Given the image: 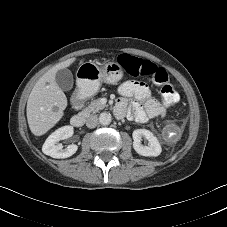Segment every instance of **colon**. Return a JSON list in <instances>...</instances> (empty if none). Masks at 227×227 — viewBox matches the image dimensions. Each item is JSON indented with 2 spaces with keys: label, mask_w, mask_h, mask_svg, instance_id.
<instances>
[{
  "label": "colon",
  "mask_w": 227,
  "mask_h": 227,
  "mask_svg": "<svg viewBox=\"0 0 227 227\" xmlns=\"http://www.w3.org/2000/svg\"><path fill=\"white\" fill-rule=\"evenodd\" d=\"M120 64L128 75L150 77L158 83L161 86V98L166 104L174 105L178 102L177 91L163 68L150 61H139L132 57H122Z\"/></svg>",
  "instance_id": "obj_1"
}]
</instances>
